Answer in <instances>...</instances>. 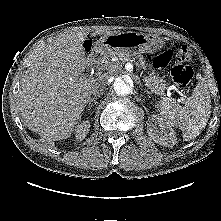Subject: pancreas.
Segmentation results:
<instances>
[{
    "label": "pancreas",
    "mask_w": 221,
    "mask_h": 221,
    "mask_svg": "<svg viewBox=\"0 0 221 221\" xmlns=\"http://www.w3.org/2000/svg\"><path fill=\"white\" fill-rule=\"evenodd\" d=\"M111 57L116 59V62L114 64L116 65H120L123 64L125 62H132V61H136L137 60V64L145 69V61L144 58L142 56H138V57H132L131 54H127V53H118V54H113ZM110 66L113 65V62H107ZM143 81L145 83V85L151 89L153 92H155L158 95H163L164 94V90L166 89V84L164 83V80L161 79L160 77L154 75V73H150L148 76H145L143 78Z\"/></svg>",
    "instance_id": "cf45deb5"
}]
</instances>
